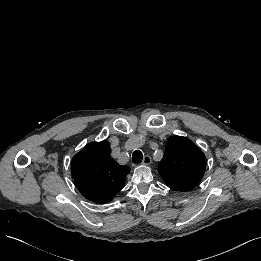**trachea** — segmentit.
Masks as SVG:
<instances>
[{
    "instance_id": "1",
    "label": "trachea",
    "mask_w": 261,
    "mask_h": 261,
    "mask_svg": "<svg viewBox=\"0 0 261 261\" xmlns=\"http://www.w3.org/2000/svg\"><path fill=\"white\" fill-rule=\"evenodd\" d=\"M143 160V154L140 150H135L132 154V161L135 164L141 163Z\"/></svg>"
}]
</instances>
